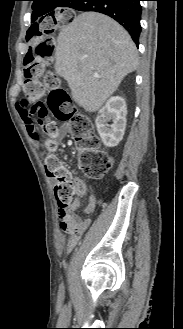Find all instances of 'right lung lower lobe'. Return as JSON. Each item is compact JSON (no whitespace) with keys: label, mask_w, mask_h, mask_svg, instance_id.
Returning <instances> with one entry per match:
<instances>
[{"label":"right lung lower lobe","mask_w":183,"mask_h":329,"mask_svg":"<svg viewBox=\"0 0 183 329\" xmlns=\"http://www.w3.org/2000/svg\"><path fill=\"white\" fill-rule=\"evenodd\" d=\"M141 0H73L70 8L79 11H95L119 22L131 35L136 45L141 32Z\"/></svg>","instance_id":"right-lung-lower-lobe-1"}]
</instances>
